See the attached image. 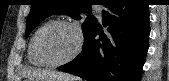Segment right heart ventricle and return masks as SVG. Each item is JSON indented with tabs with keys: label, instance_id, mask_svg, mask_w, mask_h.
Returning a JSON list of instances; mask_svg holds the SVG:
<instances>
[{
	"label": "right heart ventricle",
	"instance_id": "right-heart-ventricle-1",
	"mask_svg": "<svg viewBox=\"0 0 169 81\" xmlns=\"http://www.w3.org/2000/svg\"><path fill=\"white\" fill-rule=\"evenodd\" d=\"M50 21H47L43 24H41L32 34L29 44H28V51H27V58H28V62L31 65L37 66V67H43L44 64L42 63V61L39 59L37 53H36V38L39 34V32L41 31V29L43 27H45Z\"/></svg>",
	"mask_w": 169,
	"mask_h": 81
}]
</instances>
